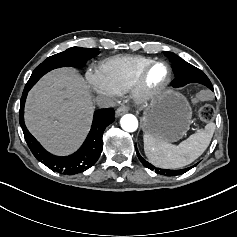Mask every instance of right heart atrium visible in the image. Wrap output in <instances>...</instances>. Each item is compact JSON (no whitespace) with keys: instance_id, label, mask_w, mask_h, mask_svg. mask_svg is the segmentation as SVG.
<instances>
[{"instance_id":"1","label":"right heart atrium","mask_w":237,"mask_h":237,"mask_svg":"<svg viewBox=\"0 0 237 237\" xmlns=\"http://www.w3.org/2000/svg\"><path fill=\"white\" fill-rule=\"evenodd\" d=\"M86 80L96 94L109 98H116L119 95L117 89L113 86L110 80L105 76L101 69H90L86 73Z\"/></svg>"}]
</instances>
